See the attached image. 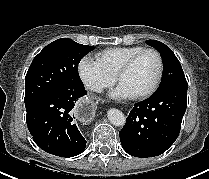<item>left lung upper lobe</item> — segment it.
Here are the masks:
<instances>
[{"label": "left lung upper lobe", "instance_id": "obj_1", "mask_svg": "<svg viewBox=\"0 0 209 179\" xmlns=\"http://www.w3.org/2000/svg\"><path fill=\"white\" fill-rule=\"evenodd\" d=\"M147 43L160 52L164 64L163 77L155 93L175 85L187 84L181 64L173 51L162 42L156 40H148Z\"/></svg>", "mask_w": 209, "mask_h": 179}]
</instances>
